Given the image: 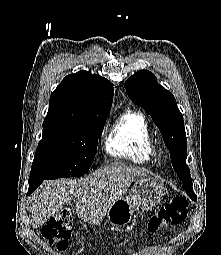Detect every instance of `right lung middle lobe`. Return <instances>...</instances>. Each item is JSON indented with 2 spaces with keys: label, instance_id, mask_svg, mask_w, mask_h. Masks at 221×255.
I'll return each mask as SVG.
<instances>
[{
  "label": "right lung middle lobe",
  "instance_id": "obj_1",
  "mask_svg": "<svg viewBox=\"0 0 221 255\" xmlns=\"http://www.w3.org/2000/svg\"><path fill=\"white\" fill-rule=\"evenodd\" d=\"M108 114L99 113L88 123L44 120L30 179L74 177L88 172Z\"/></svg>",
  "mask_w": 221,
  "mask_h": 255
}]
</instances>
